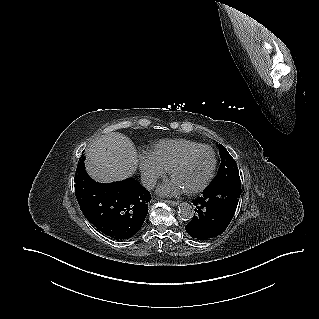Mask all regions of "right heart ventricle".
I'll list each match as a JSON object with an SVG mask.
<instances>
[{
	"label": "right heart ventricle",
	"instance_id": "e07e8e85",
	"mask_svg": "<svg viewBox=\"0 0 319 319\" xmlns=\"http://www.w3.org/2000/svg\"><path fill=\"white\" fill-rule=\"evenodd\" d=\"M197 145L199 143L183 138L163 139L151 146L149 154L158 165L169 170L173 162L183 152Z\"/></svg>",
	"mask_w": 319,
	"mask_h": 319
}]
</instances>
